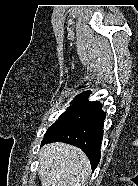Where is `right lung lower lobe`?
Masks as SVG:
<instances>
[{
    "label": "right lung lower lobe",
    "instance_id": "right-lung-lower-lobe-1",
    "mask_svg": "<svg viewBox=\"0 0 138 186\" xmlns=\"http://www.w3.org/2000/svg\"><path fill=\"white\" fill-rule=\"evenodd\" d=\"M105 112L101 103L88 102L44 136L42 144L64 142L80 148L94 171L100 161Z\"/></svg>",
    "mask_w": 138,
    "mask_h": 186
}]
</instances>
